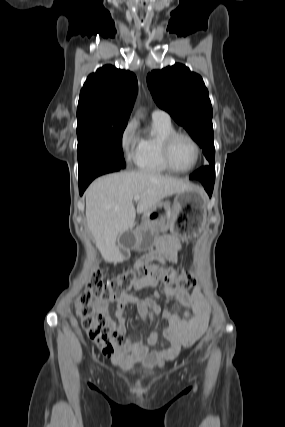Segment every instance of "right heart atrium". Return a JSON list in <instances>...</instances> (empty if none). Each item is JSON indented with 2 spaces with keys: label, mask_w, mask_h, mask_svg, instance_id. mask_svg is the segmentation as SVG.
<instances>
[{
  "label": "right heart atrium",
  "mask_w": 285,
  "mask_h": 427,
  "mask_svg": "<svg viewBox=\"0 0 285 427\" xmlns=\"http://www.w3.org/2000/svg\"><path fill=\"white\" fill-rule=\"evenodd\" d=\"M137 127L136 120L131 119L126 123L120 135V146L127 160L134 158L138 146Z\"/></svg>",
  "instance_id": "d8ad5b80"
}]
</instances>
